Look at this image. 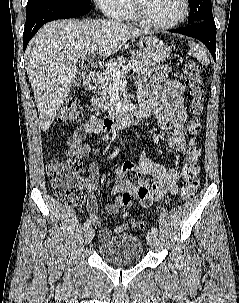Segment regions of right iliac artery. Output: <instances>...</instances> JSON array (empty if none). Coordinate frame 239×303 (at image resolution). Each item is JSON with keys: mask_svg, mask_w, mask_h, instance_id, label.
<instances>
[{"mask_svg": "<svg viewBox=\"0 0 239 303\" xmlns=\"http://www.w3.org/2000/svg\"><path fill=\"white\" fill-rule=\"evenodd\" d=\"M118 151H119V149H116V150L112 153V155H111L110 157H111V158H114V157L117 155ZM90 225H91V220H89V219L86 220V222L84 223V227H85V228H89Z\"/></svg>", "mask_w": 239, "mask_h": 303, "instance_id": "1", "label": "right iliac artery"}]
</instances>
